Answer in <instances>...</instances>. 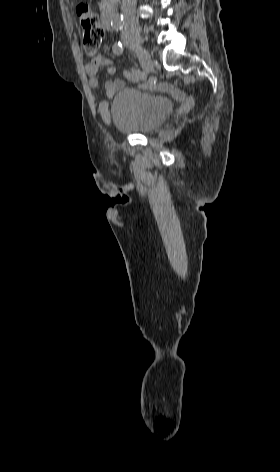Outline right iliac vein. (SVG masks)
Wrapping results in <instances>:
<instances>
[{
    "instance_id": "1",
    "label": "right iliac vein",
    "mask_w": 280,
    "mask_h": 472,
    "mask_svg": "<svg viewBox=\"0 0 280 472\" xmlns=\"http://www.w3.org/2000/svg\"><path fill=\"white\" fill-rule=\"evenodd\" d=\"M124 43L132 50L135 51L137 54V57L140 61V64L145 72H149L153 68V62L152 59L146 49H144L136 38L134 37H127L124 40Z\"/></svg>"
}]
</instances>
